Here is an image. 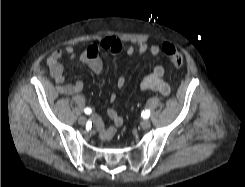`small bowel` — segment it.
<instances>
[{"instance_id": "obj_1", "label": "small bowel", "mask_w": 245, "mask_h": 187, "mask_svg": "<svg viewBox=\"0 0 245 187\" xmlns=\"http://www.w3.org/2000/svg\"><path fill=\"white\" fill-rule=\"evenodd\" d=\"M163 44L156 42L152 45H148L146 42H141L137 48L130 46L126 48L125 51L129 56L139 57L147 52L155 56L160 52H163ZM102 50L112 53H120L123 50V46L114 36H107L99 44H91L79 52H77L71 45H67L63 49L53 51L47 58L46 64L49 68L51 77L57 84V92L62 95H81L84 90V82L82 80L74 83H65L66 78L62 63L65 57L77 59L80 62L88 65L93 73L100 74L103 71V62L100 58V52ZM164 75L165 69L163 66H154L151 72L141 80L140 89L142 91L158 92L163 96H168L171 92V88L170 85L164 80ZM125 83L126 80L123 76H120L117 79L118 88H123ZM115 99L116 95L114 93L111 94L110 100L114 101ZM107 115L113 122L112 126H105L99 115L95 114L92 116V122L99 131L100 137L103 140L112 138L116 133V129L123 124L122 117L115 110L109 109L107 111Z\"/></svg>"}]
</instances>
